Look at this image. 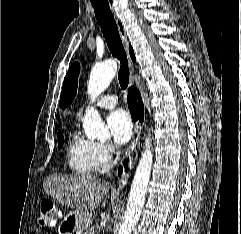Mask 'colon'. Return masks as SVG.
Returning a JSON list of instances; mask_svg holds the SVG:
<instances>
[{
	"instance_id": "5ec220e1",
	"label": "colon",
	"mask_w": 241,
	"mask_h": 234,
	"mask_svg": "<svg viewBox=\"0 0 241 234\" xmlns=\"http://www.w3.org/2000/svg\"><path fill=\"white\" fill-rule=\"evenodd\" d=\"M38 222L42 227H54L58 223V213L51 201H44L42 203Z\"/></svg>"
}]
</instances>
